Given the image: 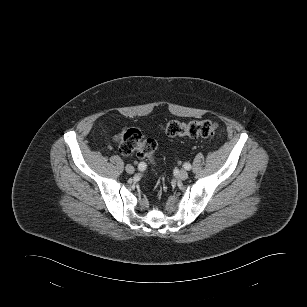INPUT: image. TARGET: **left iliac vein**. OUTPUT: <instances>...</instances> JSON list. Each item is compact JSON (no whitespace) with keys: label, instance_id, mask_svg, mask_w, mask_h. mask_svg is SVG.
I'll use <instances>...</instances> for the list:
<instances>
[{"label":"left iliac vein","instance_id":"left-iliac-vein-1","mask_svg":"<svg viewBox=\"0 0 307 307\" xmlns=\"http://www.w3.org/2000/svg\"><path fill=\"white\" fill-rule=\"evenodd\" d=\"M178 178L180 180H186L188 178V172L185 169H181L178 173Z\"/></svg>","mask_w":307,"mask_h":307}]
</instances>
